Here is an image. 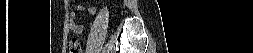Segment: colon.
<instances>
[{"label":"colon","mask_w":253,"mask_h":53,"mask_svg":"<svg viewBox=\"0 0 253 53\" xmlns=\"http://www.w3.org/2000/svg\"><path fill=\"white\" fill-rule=\"evenodd\" d=\"M69 52L70 53H81V45L78 39L74 38L69 43Z\"/></svg>","instance_id":"colon-1"}]
</instances>
